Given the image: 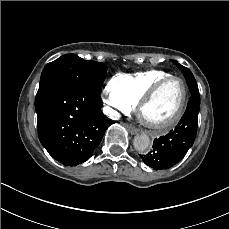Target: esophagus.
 <instances>
[{"mask_svg":"<svg viewBox=\"0 0 229 229\" xmlns=\"http://www.w3.org/2000/svg\"><path fill=\"white\" fill-rule=\"evenodd\" d=\"M124 126L129 131V133H131L132 135L137 134V132H138V129L137 128L133 127L130 124H124Z\"/></svg>","mask_w":229,"mask_h":229,"instance_id":"34e87169","label":"esophagus"}]
</instances>
